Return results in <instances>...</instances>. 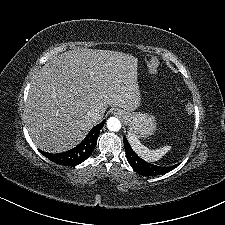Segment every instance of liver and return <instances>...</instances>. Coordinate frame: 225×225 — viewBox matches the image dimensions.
Masks as SVG:
<instances>
[{
	"label": "liver",
	"instance_id": "6515ba94",
	"mask_svg": "<svg viewBox=\"0 0 225 225\" xmlns=\"http://www.w3.org/2000/svg\"><path fill=\"white\" fill-rule=\"evenodd\" d=\"M136 57L81 48L51 58L33 77L24 109L37 148L65 152L98 124L108 106L128 111L140 105ZM98 109L100 116L87 115Z\"/></svg>",
	"mask_w": 225,
	"mask_h": 225
}]
</instances>
